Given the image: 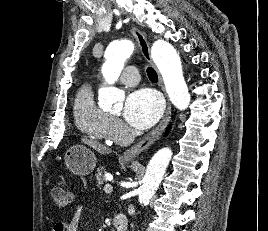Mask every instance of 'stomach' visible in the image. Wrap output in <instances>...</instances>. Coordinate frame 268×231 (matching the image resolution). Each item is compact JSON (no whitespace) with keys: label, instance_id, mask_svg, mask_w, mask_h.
<instances>
[{"label":"stomach","instance_id":"obj_1","mask_svg":"<svg viewBox=\"0 0 268 231\" xmlns=\"http://www.w3.org/2000/svg\"><path fill=\"white\" fill-rule=\"evenodd\" d=\"M64 161L67 168L79 176L90 174L97 163L95 154L83 145L70 147L65 153Z\"/></svg>","mask_w":268,"mask_h":231}]
</instances>
